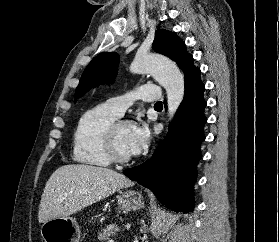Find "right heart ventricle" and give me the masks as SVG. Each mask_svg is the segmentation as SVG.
Masks as SVG:
<instances>
[{
	"label": "right heart ventricle",
	"mask_w": 279,
	"mask_h": 242,
	"mask_svg": "<svg viewBox=\"0 0 279 242\" xmlns=\"http://www.w3.org/2000/svg\"><path fill=\"white\" fill-rule=\"evenodd\" d=\"M117 118L105 104L95 106L82 114L73 136V158L76 162L95 167L111 165L104 133Z\"/></svg>",
	"instance_id": "1"
}]
</instances>
